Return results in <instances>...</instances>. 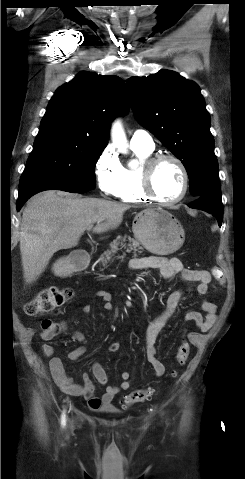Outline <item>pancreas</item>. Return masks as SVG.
I'll use <instances>...</instances> for the list:
<instances>
[{
	"mask_svg": "<svg viewBox=\"0 0 245 479\" xmlns=\"http://www.w3.org/2000/svg\"><path fill=\"white\" fill-rule=\"evenodd\" d=\"M129 241V244L127 245V252L134 251V256H136V252H140L139 249V242L131 238L130 236H117L113 242L110 243V248L106 251L103 252L100 258L101 264L105 267L107 264L112 260V257L116 254V252L119 250V247L121 248H126V241ZM138 248V249H137Z\"/></svg>",
	"mask_w": 245,
	"mask_h": 479,
	"instance_id": "1",
	"label": "pancreas"
}]
</instances>
